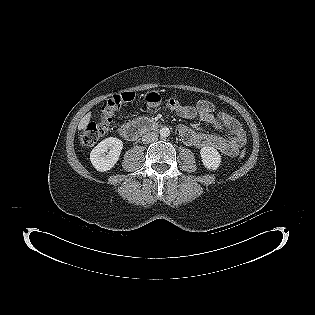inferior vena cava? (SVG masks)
I'll return each mask as SVG.
<instances>
[{"label":"inferior vena cava","mask_w":315,"mask_h":315,"mask_svg":"<svg viewBox=\"0 0 315 315\" xmlns=\"http://www.w3.org/2000/svg\"><path fill=\"white\" fill-rule=\"evenodd\" d=\"M158 138V134L156 132H148L142 136L143 143H151Z\"/></svg>","instance_id":"602c4592"}]
</instances>
